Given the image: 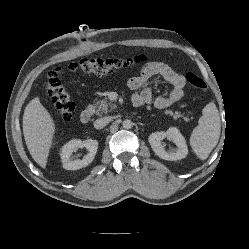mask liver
<instances>
[{"mask_svg":"<svg viewBox=\"0 0 249 249\" xmlns=\"http://www.w3.org/2000/svg\"><path fill=\"white\" fill-rule=\"evenodd\" d=\"M55 123L39 97L32 99L23 114V134L27 148L34 161L45 168L52 140Z\"/></svg>","mask_w":249,"mask_h":249,"instance_id":"6515ba94","label":"liver"}]
</instances>
